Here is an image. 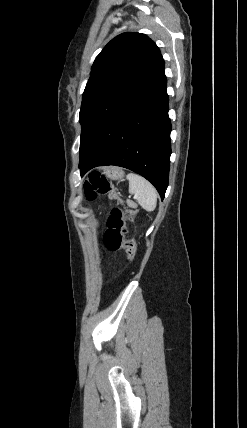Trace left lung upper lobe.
I'll return each mask as SVG.
<instances>
[{
    "instance_id": "left-lung-upper-lobe-1",
    "label": "left lung upper lobe",
    "mask_w": 247,
    "mask_h": 428,
    "mask_svg": "<svg viewBox=\"0 0 247 428\" xmlns=\"http://www.w3.org/2000/svg\"><path fill=\"white\" fill-rule=\"evenodd\" d=\"M163 69L159 48L145 34L126 32L103 48L83 92L79 114L80 163L119 107L148 86Z\"/></svg>"
}]
</instances>
